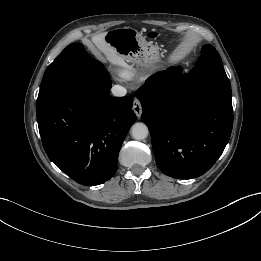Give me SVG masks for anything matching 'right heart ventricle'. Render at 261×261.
Here are the masks:
<instances>
[{"label":"right heart ventricle","mask_w":261,"mask_h":261,"mask_svg":"<svg viewBox=\"0 0 261 261\" xmlns=\"http://www.w3.org/2000/svg\"><path fill=\"white\" fill-rule=\"evenodd\" d=\"M122 75H123L124 77H126V78H130V77L132 76V71H130V70H124V71L122 72Z\"/></svg>","instance_id":"right-heart-ventricle-1"}]
</instances>
